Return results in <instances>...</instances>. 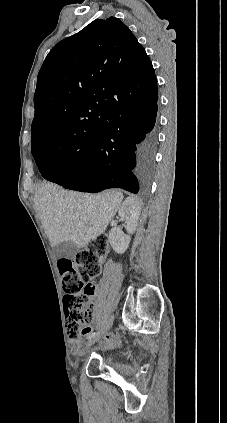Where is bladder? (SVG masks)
<instances>
[{"label":"bladder","instance_id":"1","mask_svg":"<svg viewBox=\"0 0 227 423\" xmlns=\"http://www.w3.org/2000/svg\"><path fill=\"white\" fill-rule=\"evenodd\" d=\"M113 362V354L112 353H105L103 354L102 359L100 360V364L108 365Z\"/></svg>","mask_w":227,"mask_h":423}]
</instances>
